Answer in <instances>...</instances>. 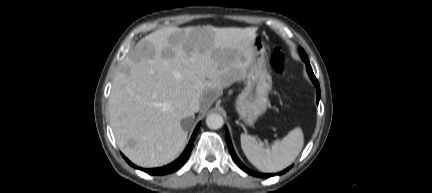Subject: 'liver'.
Wrapping results in <instances>:
<instances>
[{"mask_svg":"<svg viewBox=\"0 0 432 193\" xmlns=\"http://www.w3.org/2000/svg\"><path fill=\"white\" fill-rule=\"evenodd\" d=\"M257 28L165 27L130 49L109 97L117 145L136 165L168 164L183 151L193 98L206 112L223 89L247 76Z\"/></svg>","mask_w":432,"mask_h":193,"instance_id":"liver-1","label":"liver"}]
</instances>
